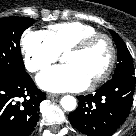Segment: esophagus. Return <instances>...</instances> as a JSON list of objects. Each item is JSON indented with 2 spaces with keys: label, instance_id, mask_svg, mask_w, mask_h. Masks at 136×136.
Listing matches in <instances>:
<instances>
[{
  "label": "esophagus",
  "instance_id": "obj_1",
  "mask_svg": "<svg viewBox=\"0 0 136 136\" xmlns=\"http://www.w3.org/2000/svg\"><path fill=\"white\" fill-rule=\"evenodd\" d=\"M57 97H59V95H58V94H54V93H47V98H48V99L57 98Z\"/></svg>",
  "mask_w": 136,
  "mask_h": 136
}]
</instances>
